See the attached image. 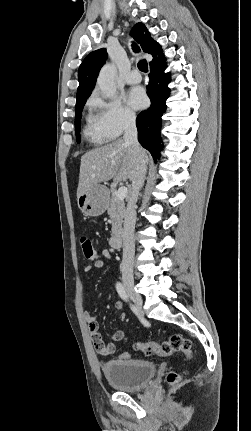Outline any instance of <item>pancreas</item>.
<instances>
[{
  "mask_svg": "<svg viewBox=\"0 0 251 431\" xmlns=\"http://www.w3.org/2000/svg\"><path fill=\"white\" fill-rule=\"evenodd\" d=\"M109 205L107 213L110 216L112 224V234L120 235L122 232V223L125 217V203L116 197V190L113 188L109 191Z\"/></svg>",
  "mask_w": 251,
  "mask_h": 431,
  "instance_id": "obj_1",
  "label": "pancreas"
}]
</instances>
